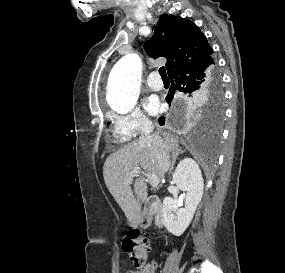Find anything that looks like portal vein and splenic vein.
<instances>
[{
	"label": "portal vein and splenic vein",
	"mask_w": 285,
	"mask_h": 273,
	"mask_svg": "<svg viewBox=\"0 0 285 273\" xmlns=\"http://www.w3.org/2000/svg\"><path fill=\"white\" fill-rule=\"evenodd\" d=\"M144 175L148 178V180L150 181L151 185L153 187H156L158 186L159 184V178L156 174H153V173H148V172H145V171H142L140 170L139 168H134L130 174H129V178H128V182H132L133 181V178L136 177V176H139V175Z\"/></svg>",
	"instance_id": "18ae733b"
}]
</instances>
